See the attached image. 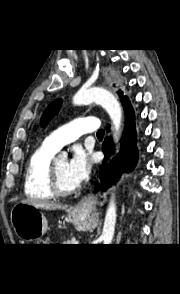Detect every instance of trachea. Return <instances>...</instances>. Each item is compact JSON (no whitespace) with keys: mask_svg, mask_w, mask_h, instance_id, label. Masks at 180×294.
Masks as SVG:
<instances>
[{"mask_svg":"<svg viewBox=\"0 0 180 294\" xmlns=\"http://www.w3.org/2000/svg\"><path fill=\"white\" fill-rule=\"evenodd\" d=\"M103 135H104V130H103V129H99V130L97 131V136H98V137H103Z\"/></svg>","mask_w":180,"mask_h":294,"instance_id":"obj_1","label":"trachea"}]
</instances>
